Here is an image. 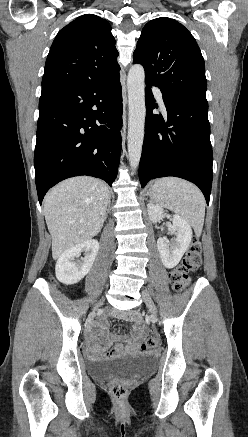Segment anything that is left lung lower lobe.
<instances>
[{"label":"left lung lower lobe","instance_id":"1","mask_svg":"<svg viewBox=\"0 0 248 437\" xmlns=\"http://www.w3.org/2000/svg\"><path fill=\"white\" fill-rule=\"evenodd\" d=\"M145 83L147 115L139 164L141 186L158 177H180L196 184L209 204L213 156L208 102L162 93L167 110L165 122L152 113L155 102L151 91L153 84Z\"/></svg>","mask_w":248,"mask_h":437}]
</instances>
